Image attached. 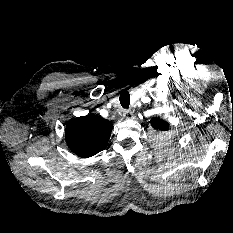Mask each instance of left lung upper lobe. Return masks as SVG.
Masks as SVG:
<instances>
[{
  "mask_svg": "<svg viewBox=\"0 0 233 233\" xmlns=\"http://www.w3.org/2000/svg\"><path fill=\"white\" fill-rule=\"evenodd\" d=\"M150 123L154 129L159 131H167L169 129V123L161 119H152Z\"/></svg>",
  "mask_w": 233,
  "mask_h": 233,
  "instance_id": "obj_1",
  "label": "left lung upper lobe"
}]
</instances>
